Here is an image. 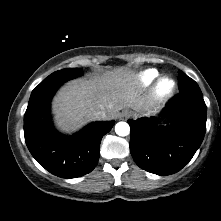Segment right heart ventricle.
<instances>
[{"label":"right heart ventricle","mask_w":221,"mask_h":221,"mask_svg":"<svg viewBox=\"0 0 221 221\" xmlns=\"http://www.w3.org/2000/svg\"><path fill=\"white\" fill-rule=\"evenodd\" d=\"M156 76L157 72L155 70L152 69L145 70L140 75V82L143 86H147L154 80Z\"/></svg>","instance_id":"right-heart-ventricle-1"}]
</instances>
